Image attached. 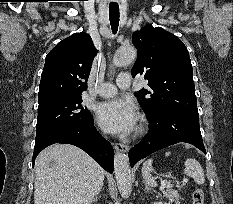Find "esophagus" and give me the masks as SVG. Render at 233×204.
Segmentation results:
<instances>
[{
  "instance_id": "34e87169",
  "label": "esophagus",
  "mask_w": 233,
  "mask_h": 204,
  "mask_svg": "<svg viewBox=\"0 0 233 204\" xmlns=\"http://www.w3.org/2000/svg\"><path fill=\"white\" fill-rule=\"evenodd\" d=\"M114 148L116 151L127 153L129 151V146L123 143H115Z\"/></svg>"
}]
</instances>
